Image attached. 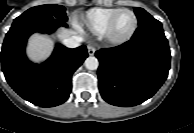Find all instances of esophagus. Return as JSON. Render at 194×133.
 <instances>
[{"label": "esophagus", "instance_id": "34e87169", "mask_svg": "<svg viewBox=\"0 0 194 133\" xmlns=\"http://www.w3.org/2000/svg\"><path fill=\"white\" fill-rule=\"evenodd\" d=\"M87 50L90 56H93L95 54V48L92 45H88Z\"/></svg>", "mask_w": 194, "mask_h": 133}]
</instances>
